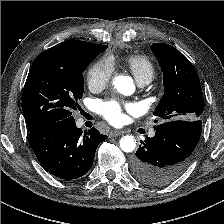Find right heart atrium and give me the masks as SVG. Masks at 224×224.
I'll use <instances>...</instances> for the list:
<instances>
[{
	"mask_svg": "<svg viewBox=\"0 0 224 224\" xmlns=\"http://www.w3.org/2000/svg\"><path fill=\"white\" fill-rule=\"evenodd\" d=\"M112 60H99L92 64L87 72V84L90 89L99 91L108 86L113 76Z\"/></svg>",
	"mask_w": 224,
	"mask_h": 224,
	"instance_id": "obj_1",
	"label": "right heart atrium"
}]
</instances>
